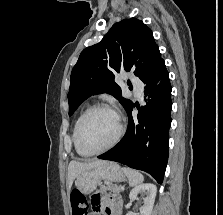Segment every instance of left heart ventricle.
I'll use <instances>...</instances> for the list:
<instances>
[{"label":"left heart ventricle","instance_id":"left-heart-ventricle-1","mask_svg":"<svg viewBox=\"0 0 223 215\" xmlns=\"http://www.w3.org/2000/svg\"><path fill=\"white\" fill-rule=\"evenodd\" d=\"M118 132L117 117L108 110H99L86 121L82 130V147L98 151L108 146Z\"/></svg>","mask_w":223,"mask_h":215}]
</instances>
